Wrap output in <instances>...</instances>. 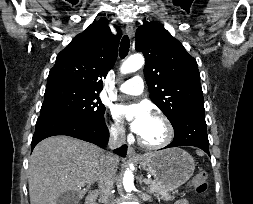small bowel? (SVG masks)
Here are the masks:
<instances>
[{"label": "small bowel", "instance_id": "obj_1", "mask_svg": "<svg viewBox=\"0 0 253 204\" xmlns=\"http://www.w3.org/2000/svg\"><path fill=\"white\" fill-rule=\"evenodd\" d=\"M175 204H189V202L185 199L179 200L177 203Z\"/></svg>", "mask_w": 253, "mask_h": 204}]
</instances>
